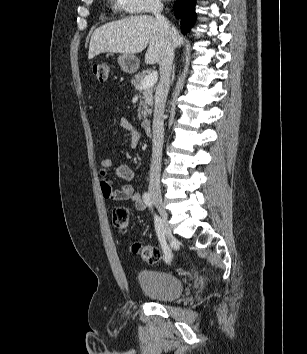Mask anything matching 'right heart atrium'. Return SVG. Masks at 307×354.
Instances as JSON below:
<instances>
[{
    "label": "right heart atrium",
    "instance_id": "obj_1",
    "mask_svg": "<svg viewBox=\"0 0 307 354\" xmlns=\"http://www.w3.org/2000/svg\"><path fill=\"white\" fill-rule=\"evenodd\" d=\"M117 5L128 13H148L161 8V0H116Z\"/></svg>",
    "mask_w": 307,
    "mask_h": 354
}]
</instances>
